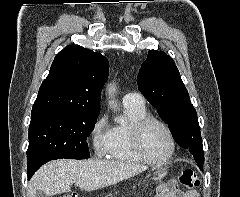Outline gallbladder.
Wrapping results in <instances>:
<instances>
[{
  "mask_svg": "<svg viewBox=\"0 0 240 197\" xmlns=\"http://www.w3.org/2000/svg\"><path fill=\"white\" fill-rule=\"evenodd\" d=\"M35 197H48L43 191L38 190Z\"/></svg>",
  "mask_w": 240,
  "mask_h": 197,
  "instance_id": "1",
  "label": "gallbladder"
}]
</instances>
